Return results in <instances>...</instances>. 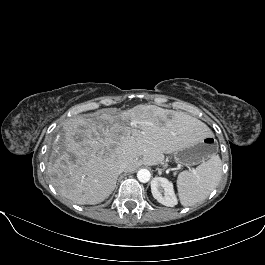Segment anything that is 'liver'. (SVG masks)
<instances>
[{
	"mask_svg": "<svg viewBox=\"0 0 265 265\" xmlns=\"http://www.w3.org/2000/svg\"><path fill=\"white\" fill-rule=\"evenodd\" d=\"M209 134L200 120L155 105L105 110L63 122L47 172L56 190L76 204L95 205L113 192L118 168L157 165L186 143Z\"/></svg>",
	"mask_w": 265,
	"mask_h": 265,
	"instance_id": "liver-1",
	"label": "liver"
}]
</instances>
